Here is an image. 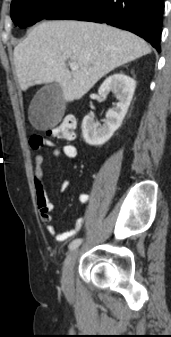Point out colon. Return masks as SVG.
<instances>
[{
    "label": "colon",
    "instance_id": "obj_1",
    "mask_svg": "<svg viewBox=\"0 0 171 337\" xmlns=\"http://www.w3.org/2000/svg\"><path fill=\"white\" fill-rule=\"evenodd\" d=\"M76 121L73 117H65L56 127L48 130L49 137L54 139L71 140L75 137Z\"/></svg>",
    "mask_w": 171,
    "mask_h": 337
}]
</instances>
